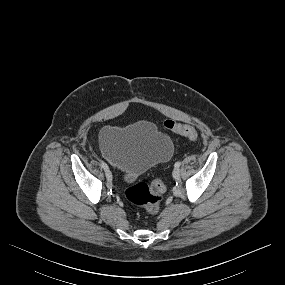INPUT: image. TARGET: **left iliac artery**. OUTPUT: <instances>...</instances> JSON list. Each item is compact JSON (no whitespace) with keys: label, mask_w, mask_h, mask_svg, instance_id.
Returning a JSON list of instances; mask_svg holds the SVG:
<instances>
[{"label":"left iliac artery","mask_w":285,"mask_h":285,"mask_svg":"<svg viewBox=\"0 0 285 285\" xmlns=\"http://www.w3.org/2000/svg\"><path fill=\"white\" fill-rule=\"evenodd\" d=\"M180 165H181V162L178 161V162H176V163L174 164V167H175V168H179Z\"/></svg>","instance_id":"1"}]
</instances>
